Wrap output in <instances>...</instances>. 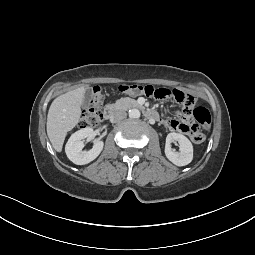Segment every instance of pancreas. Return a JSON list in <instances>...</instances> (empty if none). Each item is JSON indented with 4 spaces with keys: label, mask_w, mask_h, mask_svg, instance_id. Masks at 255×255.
<instances>
[{
    "label": "pancreas",
    "mask_w": 255,
    "mask_h": 255,
    "mask_svg": "<svg viewBox=\"0 0 255 255\" xmlns=\"http://www.w3.org/2000/svg\"><path fill=\"white\" fill-rule=\"evenodd\" d=\"M115 107L120 109H128L130 107H136L138 105L137 101L129 97L120 98L115 102Z\"/></svg>",
    "instance_id": "obj_1"
}]
</instances>
